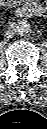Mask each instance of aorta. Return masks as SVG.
Masks as SVG:
<instances>
[{
    "mask_svg": "<svg viewBox=\"0 0 47 129\" xmlns=\"http://www.w3.org/2000/svg\"><path fill=\"white\" fill-rule=\"evenodd\" d=\"M15 30L19 35H25L31 30V25L26 20L18 21Z\"/></svg>",
    "mask_w": 47,
    "mask_h": 129,
    "instance_id": "762f6f07",
    "label": "aorta"
}]
</instances>
